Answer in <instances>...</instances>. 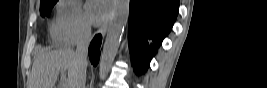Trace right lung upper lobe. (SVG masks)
Listing matches in <instances>:
<instances>
[{
  "instance_id": "1",
  "label": "right lung upper lobe",
  "mask_w": 267,
  "mask_h": 88,
  "mask_svg": "<svg viewBox=\"0 0 267 88\" xmlns=\"http://www.w3.org/2000/svg\"><path fill=\"white\" fill-rule=\"evenodd\" d=\"M44 1H47V0H41V2H44Z\"/></svg>"
}]
</instances>
